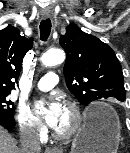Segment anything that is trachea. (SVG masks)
<instances>
[{
    "mask_svg": "<svg viewBox=\"0 0 130 153\" xmlns=\"http://www.w3.org/2000/svg\"><path fill=\"white\" fill-rule=\"evenodd\" d=\"M40 36L42 41H46L51 32V20L45 19L40 23Z\"/></svg>",
    "mask_w": 130,
    "mask_h": 153,
    "instance_id": "trachea-1",
    "label": "trachea"
}]
</instances>
